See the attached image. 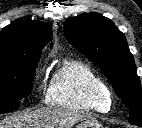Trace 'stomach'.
<instances>
[{"instance_id": "1", "label": "stomach", "mask_w": 142, "mask_h": 128, "mask_svg": "<svg viewBox=\"0 0 142 128\" xmlns=\"http://www.w3.org/2000/svg\"><path fill=\"white\" fill-rule=\"evenodd\" d=\"M75 128H103V126L96 119L89 118L78 124Z\"/></svg>"}]
</instances>
